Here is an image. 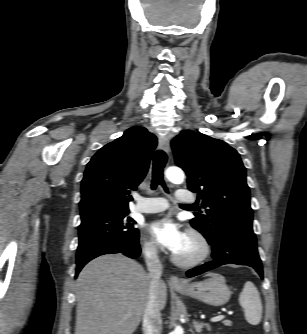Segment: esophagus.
I'll return each mask as SVG.
<instances>
[{
  "instance_id": "34e87169",
  "label": "esophagus",
  "mask_w": 307,
  "mask_h": 334,
  "mask_svg": "<svg viewBox=\"0 0 307 334\" xmlns=\"http://www.w3.org/2000/svg\"><path fill=\"white\" fill-rule=\"evenodd\" d=\"M159 146L165 153L169 154L170 143H169V138L167 136L159 138ZM168 283L173 287H186L188 285L187 282L179 279L175 275L170 276Z\"/></svg>"
}]
</instances>
